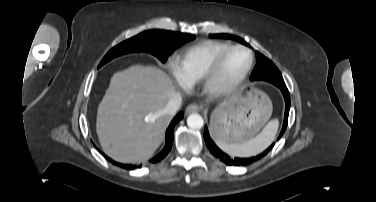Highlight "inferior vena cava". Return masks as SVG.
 <instances>
[{"label": "inferior vena cava", "instance_id": "obj_1", "mask_svg": "<svg viewBox=\"0 0 376 202\" xmlns=\"http://www.w3.org/2000/svg\"><path fill=\"white\" fill-rule=\"evenodd\" d=\"M182 103V97L180 95H174L167 103L165 108L162 110L164 115L170 117L174 116L177 110L180 108Z\"/></svg>", "mask_w": 376, "mask_h": 202}]
</instances>
